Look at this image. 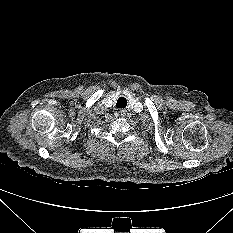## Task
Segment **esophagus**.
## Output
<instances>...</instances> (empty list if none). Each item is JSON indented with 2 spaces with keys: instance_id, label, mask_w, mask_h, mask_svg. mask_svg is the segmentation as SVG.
<instances>
[{
  "instance_id": "esophagus-1",
  "label": "esophagus",
  "mask_w": 233,
  "mask_h": 233,
  "mask_svg": "<svg viewBox=\"0 0 233 233\" xmlns=\"http://www.w3.org/2000/svg\"><path fill=\"white\" fill-rule=\"evenodd\" d=\"M125 113H126V111L124 109L119 110V115L120 116H124Z\"/></svg>"
}]
</instances>
